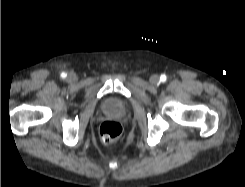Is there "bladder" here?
I'll list each match as a JSON object with an SVG mask.
<instances>
[{
	"mask_svg": "<svg viewBox=\"0 0 245 187\" xmlns=\"http://www.w3.org/2000/svg\"><path fill=\"white\" fill-rule=\"evenodd\" d=\"M102 109L108 114L119 115L127 111L128 104L126 101L118 98H107L102 104Z\"/></svg>",
	"mask_w": 245,
	"mask_h": 187,
	"instance_id": "bladder-1",
	"label": "bladder"
}]
</instances>
